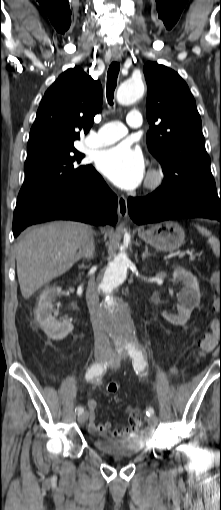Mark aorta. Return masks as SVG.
I'll return each instance as SVG.
<instances>
[{
  "label": "aorta",
  "instance_id": "aorta-1",
  "mask_svg": "<svg viewBox=\"0 0 221 510\" xmlns=\"http://www.w3.org/2000/svg\"><path fill=\"white\" fill-rule=\"evenodd\" d=\"M144 89L142 79H129L119 86L117 101L121 105H131L143 96ZM129 264L130 260L127 253L124 251L118 253L109 262L97 283L98 291L102 296L101 312L103 321L119 349L136 345L133 324L128 309L115 294L116 289L127 278Z\"/></svg>",
  "mask_w": 221,
  "mask_h": 510
}]
</instances>
